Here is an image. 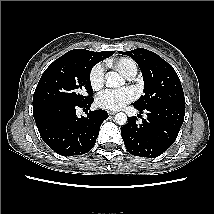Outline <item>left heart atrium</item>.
Wrapping results in <instances>:
<instances>
[{
    "label": "left heart atrium",
    "instance_id": "1",
    "mask_svg": "<svg viewBox=\"0 0 214 214\" xmlns=\"http://www.w3.org/2000/svg\"><path fill=\"white\" fill-rule=\"evenodd\" d=\"M136 97L135 90L125 88L122 90H105L96 97L98 107L107 110H119Z\"/></svg>",
    "mask_w": 214,
    "mask_h": 214
}]
</instances>
